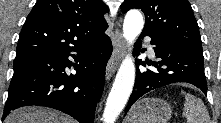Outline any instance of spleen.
Returning a JSON list of instances; mask_svg holds the SVG:
<instances>
[{
  "label": "spleen",
  "instance_id": "1",
  "mask_svg": "<svg viewBox=\"0 0 221 123\" xmlns=\"http://www.w3.org/2000/svg\"><path fill=\"white\" fill-rule=\"evenodd\" d=\"M185 96L183 117L187 123H211L210 116L204 102L192 94L181 92Z\"/></svg>",
  "mask_w": 221,
  "mask_h": 123
}]
</instances>
